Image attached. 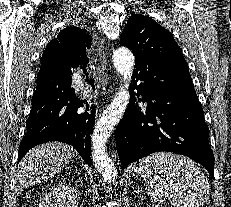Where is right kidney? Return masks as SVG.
<instances>
[{
	"label": "right kidney",
	"instance_id": "right-kidney-1",
	"mask_svg": "<svg viewBox=\"0 0 231 207\" xmlns=\"http://www.w3.org/2000/svg\"><path fill=\"white\" fill-rule=\"evenodd\" d=\"M76 189L64 184L54 187L40 202L39 207H78Z\"/></svg>",
	"mask_w": 231,
	"mask_h": 207
}]
</instances>
